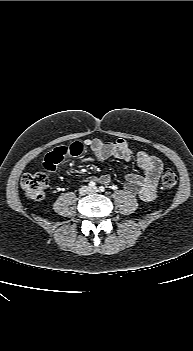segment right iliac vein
Wrapping results in <instances>:
<instances>
[{
  "label": "right iliac vein",
  "instance_id": "obj_1",
  "mask_svg": "<svg viewBox=\"0 0 193 351\" xmlns=\"http://www.w3.org/2000/svg\"><path fill=\"white\" fill-rule=\"evenodd\" d=\"M90 192H91V189L89 187H87V186H83L79 190V193L81 195H86V194H89Z\"/></svg>",
  "mask_w": 193,
  "mask_h": 351
}]
</instances>
